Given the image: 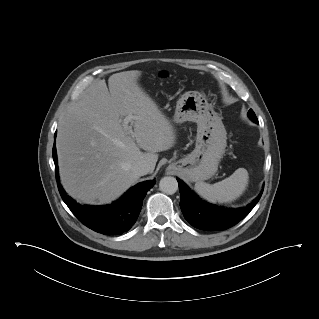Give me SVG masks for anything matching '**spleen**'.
I'll use <instances>...</instances> for the list:
<instances>
[{"label":"spleen","mask_w":319,"mask_h":319,"mask_svg":"<svg viewBox=\"0 0 319 319\" xmlns=\"http://www.w3.org/2000/svg\"><path fill=\"white\" fill-rule=\"evenodd\" d=\"M248 171L245 168H238L230 177L208 184L197 182L196 192L205 200L211 203H228L242 195L248 185Z\"/></svg>","instance_id":"3e777b00"}]
</instances>
